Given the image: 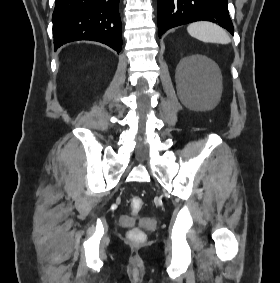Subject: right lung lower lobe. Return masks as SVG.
<instances>
[{
	"label": "right lung lower lobe",
	"instance_id": "98d812e1",
	"mask_svg": "<svg viewBox=\"0 0 280 283\" xmlns=\"http://www.w3.org/2000/svg\"><path fill=\"white\" fill-rule=\"evenodd\" d=\"M119 0H56L52 16L54 48L78 40L104 43L121 51Z\"/></svg>",
	"mask_w": 280,
	"mask_h": 283
}]
</instances>
